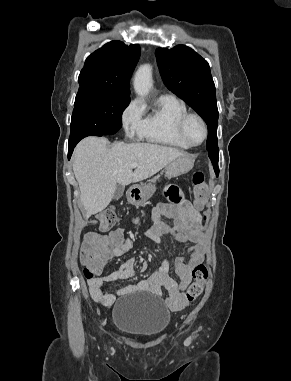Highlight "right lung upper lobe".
<instances>
[{"instance_id": "1", "label": "right lung upper lobe", "mask_w": 291, "mask_h": 381, "mask_svg": "<svg viewBox=\"0 0 291 381\" xmlns=\"http://www.w3.org/2000/svg\"><path fill=\"white\" fill-rule=\"evenodd\" d=\"M140 57V46L111 41L85 61L79 90H97L129 97V80Z\"/></svg>"}]
</instances>
